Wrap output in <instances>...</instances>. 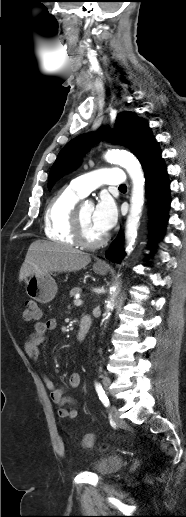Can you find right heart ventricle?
<instances>
[{
    "label": "right heart ventricle",
    "instance_id": "e07e8e85",
    "mask_svg": "<svg viewBox=\"0 0 186 517\" xmlns=\"http://www.w3.org/2000/svg\"><path fill=\"white\" fill-rule=\"evenodd\" d=\"M83 198L70 185L60 189L48 203L44 214L45 235L53 241L75 246L73 215L76 203Z\"/></svg>",
    "mask_w": 186,
    "mask_h": 517
}]
</instances>
